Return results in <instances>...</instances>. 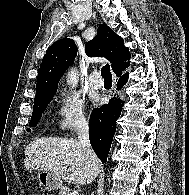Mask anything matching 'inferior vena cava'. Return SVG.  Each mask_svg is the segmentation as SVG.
<instances>
[{
	"mask_svg": "<svg viewBox=\"0 0 189 195\" xmlns=\"http://www.w3.org/2000/svg\"><path fill=\"white\" fill-rule=\"evenodd\" d=\"M76 131L80 144L86 147L89 152H92L91 144L89 141V125L84 117H80L77 119Z\"/></svg>",
	"mask_w": 189,
	"mask_h": 195,
	"instance_id": "1",
	"label": "inferior vena cava"
}]
</instances>
